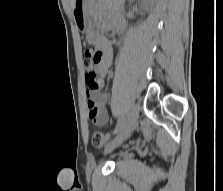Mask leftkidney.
Returning a JSON list of instances; mask_svg holds the SVG:
<instances>
[{"instance_id": "1", "label": "left kidney", "mask_w": 223, "mask_h": 191, "mask_svg": "<svg viewBox=\"0 0 223 191\" xmlns=\"http://www.w3.org/2000/svg\"><path fill=\"white\" fill-rule=\"evenodd\" d=\"M154 1L153 0H143L142 1V6L145 8V9H149L151 6H152V3Z\"/></svg>"}]
</instances>
